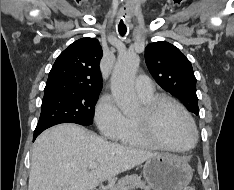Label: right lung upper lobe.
Here are the masks:
<instances>
[{"label": "right lung upper lobe", "mask_w": 234, "mask_h": 190, "mask_svg": "<svg viewBox=\"0 0 234 190\" xmlns=\"http://www.w3.org/2000/svg\"><path fill=\"white\" fill-rule=\"evenodd\" d=\"M101 58L102 48L97 39L82 38L75 41L57 57L45 88L100 92Z\"/></svg>", "instance_id": "cb5924a9"}]
</instances>
